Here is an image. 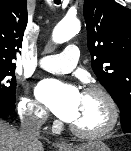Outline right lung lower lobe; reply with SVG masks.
I'll return each mask as SVG.
<instances>
[{
    "label": "right lung lower lobe",
    "mask_w": 131,
    "mask_h": 151,
    "mask_svg": "<svg viewBox=\"0 0 131 151\" xmlns=\"http://www.w3.org/2000/svg\"><path fill=\"white\" fill-rule=\"evenodd\" d=\"M15 110V104H6L0 102V117H6Z\"/></svg>",
    "instance_id": "obj_1"
}]
</instances>
